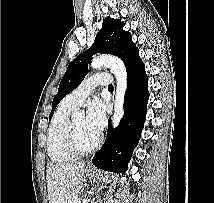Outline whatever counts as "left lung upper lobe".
I'll return each mask as SVG.
<instances>
[{"label": "left lung upper lobe", "mask_w": 214, "mask_h": 203, "mask_svg": "<svg viewBox=\"0 0 214 203\" xmlns=\"http://www.w3.org/2000/svg\"><path fill=\"white\" fill-rule=\"evenodd\" d=\"M124 25L125 23L121 20L113 19L110 16L104 19L94 44L68 65L60 82L58 93L53 99L49 120L52 118L58 103L82 82L88 73V63L93 54L98 52L117 55L127 66L131 58L139 51L132 42L131 34L122 29Z\"/></svg>", "instance_id": "left-lung-upper-lobe-1"}]
</instances>
